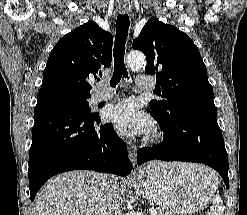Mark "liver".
I'll use <instances>...</instances> for the list:
<instances>
[{"label": "liver", "mask_w": 247, "mask_h": 215, "mask_svg": "<svg viewBox=\"0 0 247 215\" xmlns=\"http://www.w3.org/2000/svg\"><path fill=\"white\" fill-rule=\"evenodd\" d=\"M191 168L198 170L200 166L192 165ZM205 172L216 177L209 168H205ZM216 184H218L217 177ZM109 185L118 189L117 178L87 170L60 174L49 180L38 192L34 213L35 215H104Z\"/></svg>", "instance_id": "1"}]
</instances>
